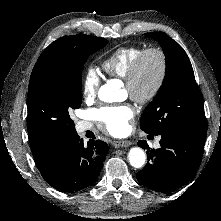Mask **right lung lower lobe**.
I'll return each mask as SVG.
<instances>
[{
	"label": "right lung lower lobe",
	"instance_id": "1",
	"mask_svg": "<svg viewBox=\"0 0 221 221\" xmlns=\"http://www.w3.org/2000/svg\"><path fill=\"white\" fill-rule=\"evenodd\" d=\"M108 152L107 143L72 136L61 143L49 161L38 168L44 180L62 192H76L92 185L98 178Z\"/></svg>",
	"mask_w": 221,
	"mask_h": 221
}]
</instances>
